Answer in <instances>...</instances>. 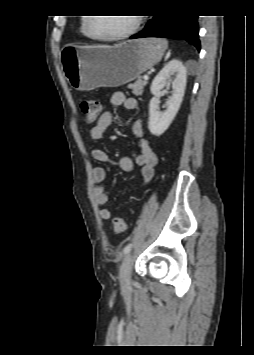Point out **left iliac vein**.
Returning a JSON list of instances; mask_svg holds the SVG:
<instances>
[{
  "label": "left iliac vein",
  "mask_w": 254,
  "mask_h": 355,
  "mask_svg": "<svg viewBox=\"0 0 254 355\" xmlns=\"http://www.w3.org/2000/svg\"><path fill=\"white\" fill-rule=\"evenodd\" d=\"M131 261L132 255L128 254L125 256L121 264L119 279L122 286L128 285L131 281Z\"/></svg>",
  "instance_id": "obj_1"
}]
</instances>
